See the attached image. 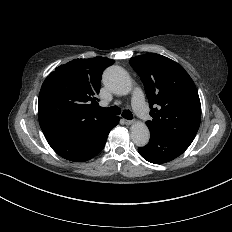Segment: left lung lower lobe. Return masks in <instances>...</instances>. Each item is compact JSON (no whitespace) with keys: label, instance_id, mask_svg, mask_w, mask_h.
<instances>
[{"label":"left lung lower lobe","instance_id":"obj_1","mask_svg":"<svg viewBox=\"0 0 232 232\" xmlns=\"http://www.w3.org/2000/svg\"><path fill=\"white\" fill-rule=\"evenodd\" d=\"M188 147L160 134L150 132V141L138 148L140 155L154 164L169 162L180 156Z\"/></svg>","mask_w":232,"mask_h":232}]
</instances>
